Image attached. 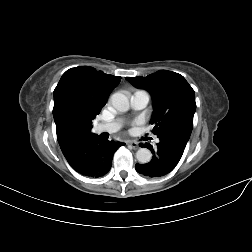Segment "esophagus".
<instances>
[{"label": "esophagus", "instance_id": "obj_1", "mask_svg": "<svg viewBox=\"0 0 252 252\" xmlns=\"http://www.w3.org/2000/svg\"><path fill=\"white\" fill-rule=\"evenodd\" d=\"M128 144L135 150L139 148L138 144L134 141H130Z\"/></svg>", "mask_w": 252, "mask_h": 252}]
</instances>
